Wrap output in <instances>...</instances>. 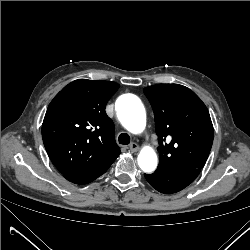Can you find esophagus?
<instances>
[{
	"label": "esophagus",
	"mask_w": 250,
	"mask_h": 250,
	"mask_svg": "<svg viewBox=\"0 0 250 250\" xmlns=\"http://www.w3.org/2000/svg\"><path fill=\"white\" fill-rule=\"evenodd\" d=\"M128 148L131 152H136L138 151L139 146L136 143H131Z\"/></svg>",
	"instance_id": "1"
}]
</instances>
